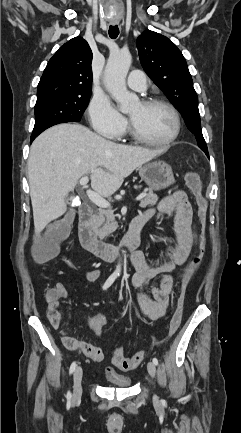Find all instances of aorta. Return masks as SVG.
<instances>
[{
  "label": "aorta",
  "instance_id": "aorta-1",
  "mask_svg": "<svg viewBox=\"0 0 241 433\" xmlns=\"http://www.w3.org/2000/svg\"><path fill=\"white\" fill-rule=\"evenodd\" d=\"M131 61L132 57L127 51H118L112 53L109 56L104 71V82L106 89L111 94L113 99L120 105V110L123 113H127L139 102L137 95L129 92L125 83ZM114 273L118 276L120 275V262L117 264Z\"/></svg>",
  "mask_w": 241,
  "mask_h": 433
}]
</instances>
